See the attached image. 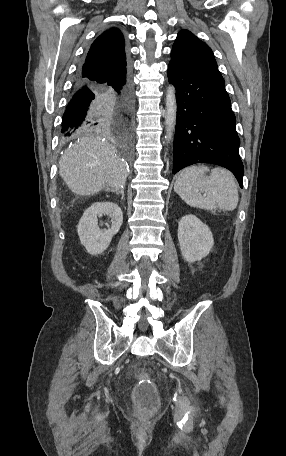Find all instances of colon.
<instances>
[{
	"mask_svg": "<svg viewBox=\"0 0 286 456\" xmlns=\"http://www.w3.org/2000/svg\"><path fill=\"white\" fill-rule=\"evenodd\" d=\"M134 399L139 412L150 411L158 405V395L153 382L142 377L134 388Z\"/></svg>",
	"mask_w": 286,
	"mask_h": 456,
	"instance_id": "obj_1",
	"label": "colon"
}]
</instances>
